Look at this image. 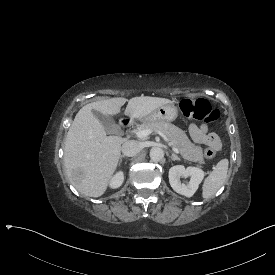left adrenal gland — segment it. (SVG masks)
<instances>
[{"label": "left adrenal gland", "instance_id": "obj_1", "mask_svg": "<svg viewBox=\"0 0 275 275\" xmlns=\"http://www.w3.org/2000/svg\"><path fill=\"white\" fill-rule=\"evenodd\" d=\"M166 155H167L168 159H171L172 161H180V160H181V159L178 157V155L175 154V153H172V155L170 156L167 147H166Z\"/></svg>", "mask_w": 275, "mask_h": 275}]
</instances>
